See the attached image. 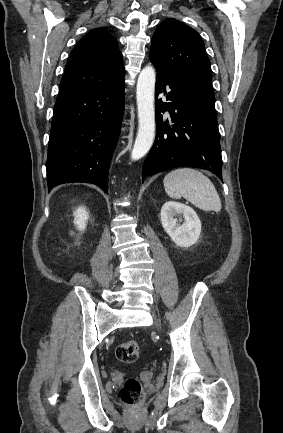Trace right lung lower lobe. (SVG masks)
<instances>
[{"label": "right lung lower lobe", "mask_w": 283, "mask_h": 433, "mask_svg": "<svg viewBox=\"0 0 283 433\" xmlns=\"http://www.w3.org/2000/svg\"><path fill=\"white\" fill-rule=\"evenodd\" d=\"M124 77L117 82L57 96L48 158V191L69 182L100 186L108 193V171L120 133Z\"/></svg>", "instance_id": "98d812e1"}]
</instances>
